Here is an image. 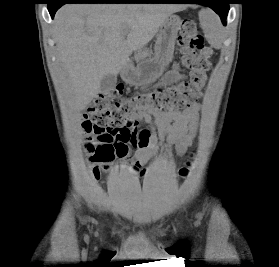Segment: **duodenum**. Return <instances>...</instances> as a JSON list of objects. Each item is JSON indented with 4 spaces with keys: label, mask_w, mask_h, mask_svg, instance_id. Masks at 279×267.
<instances>
[{
    "label": "duodenum",
    "mask_w": 279,
    "mask_h": 267,
    "mask_svg": "<svg viewBox=\"0 0 279 267\" xmlns=\"http://www.w3.org/2000/svg\"><path fill=\"white\" fill-rule=\"evenodd\" d=\"M130 65H131V62H130V60L128 59V60H127V66H128V67H127V71H129Z\"/></svg>",
    "instance_id": "410a0bca"
}]
</instances>
